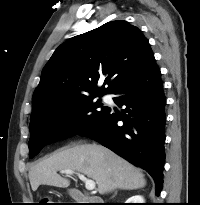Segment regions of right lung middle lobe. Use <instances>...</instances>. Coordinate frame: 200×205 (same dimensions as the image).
I'll return each mask as SVG.
<instances>
[{"instance_id": "obj_1", "label": "right lung middle lobe", "mask_w": 200, "mask_h": 205, "mask_svg": "<svg viewBox=\"0 0 200 205\" xmlns=\"http://www.w3.org/2000/svg\"><path fill=\"white\" fill-rule=\"evenodd\" d=\"M96 96H81L55 102L30 119L29 157L47 144L75 136L93 126L108 110Z\"/></svg>"}]
</instances>
